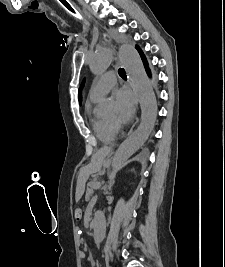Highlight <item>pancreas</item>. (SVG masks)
Returning a JSON list of instances; mask_svg holds the SVG:
<instances>
[{
    "instance_id": "obj_1",
    "label": "pancreas",
    "mask_w": 225,
    "mask_h": 267,
    "mask_svg": "<svg viewBox=\"0 0 225 267\" xmlns=\"http://www.w3.org/2000/svg\"><path fill=\"white\" fill-rule=\"evenodd\" d=\"M92 194H93V182H90L86 190V199L88 200Z\"/></svg>"
}]
</instances>
